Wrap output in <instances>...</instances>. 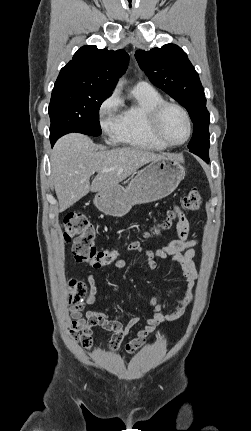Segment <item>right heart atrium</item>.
Masks as SVG:
<instances>
[{
	"label": "right heart atrium",
	"mask_w": 251,
	"mask_h": 431,
	"mask_svg": "<svg viewBox=\"0 0 251 431\" xmlns=\"http://www.w3.org/2000/svg\"><path fill=\"white\" fill-rule=\"evenodd\" d=\"M120 100L116 92H112L98 107V122L102 131L113 135L119 121Z\"/></svg>",
	"instance_id": "d8ad5b80"
}]
</instances>
